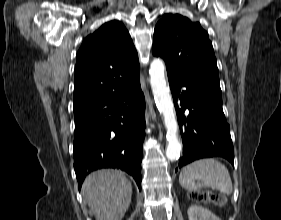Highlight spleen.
<instances>
[{"instance_id": "spleen-1", "label": "spleen", "mask_w": 281, "mask_h": 220, "mask_svg": "<svg viewBox=\"0 0 281 220\" xmlns=\"http://www.w3.org/2000/svg\"><path fill=\"white\" fill-rule=\"evenodd\" d=\"M179 182L188 191L201 187L217 189L226 195H230L233 191L228 169L213 158L200 159L183 167Z\"/></svg>"}]
</instances>
